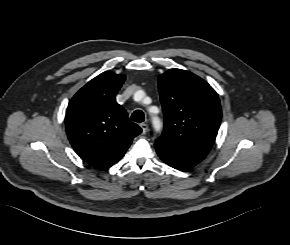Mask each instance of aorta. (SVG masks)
Segmentation results:
<instances>
[{
    "mask_svg": "<svg viewBox=\"0 0 290 245\" xmlns=\"http://www.w3.org/2000/svg\"><path fill=\"white\" fill-rule=\"evenodd\" d=\"M140 93H143L140 91ZM152 125L156 132H160L162 129V122L157 116H152Z\"/></svg>",
    "mask_w": 290,
    "mask_h": 245,
    "instance_id": "obj_1",
    "label": "aorta"
}]
</instances>
